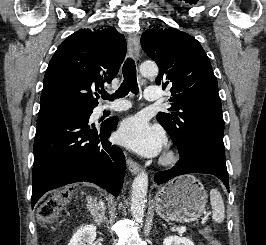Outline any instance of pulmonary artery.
Masks as SVG:
<instances>
[{
	"mask_svg": "<svg viewBox=\"0 0 266 245\" xmlns=\"http://www.w3.org/2000/svg\"><path fill=\"white\" fill-rule=\"evenodd\" d=\"M155 90H159V87L155 86H146V101H160L161 97L157 96L158 92ZM130 108L129 103H119V104H114V105H105L104 109H108L111 111H124Z\"/></svg>",
	"mask_w": 266,
	"mask_h": 245,
	"instance_id": "obj_1",
	"label": "pulmonary artery"
}]
</instances>
